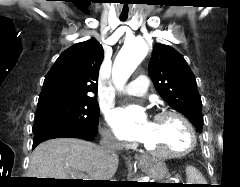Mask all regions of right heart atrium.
<instances>
[{
	"mask_svg": "<svg viewBox=\"0 0 240 187\" xmlns=\"http://www.w3.org/2000/svg\"><path fill=\"white\" fill-rule=\"evenodd\" d=\"M102 137L104 142L109 145L116 146V147L121 145V141L110 129L105 128L102 131Z\"/></svg>",
	"mask_w": 240,
	"mask_h": 187,
	"instance_id": "right-heart-atrium-1",
	"label": "right heart atrium"
}]
</instances>
